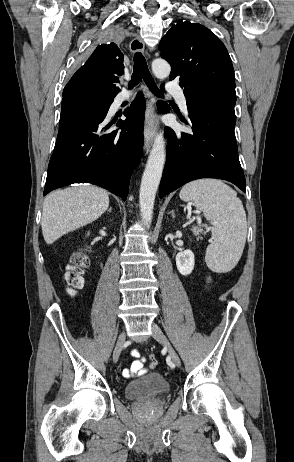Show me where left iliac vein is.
Wrapping results in <instances>:
<instances>
[{
  "label": "left iliac vein",
  "instance_id": "4c4485c4",
  "mask_svg": "<svg viewBox=\"0 0 294 462\" xmlns=\"http://www.w3.org/2000/svg\"><path fill=\"white\" fill-rule=\"evenodd\" d=\"M151 329H152V337L158 341L159 343H161L168 351V354L172 356V361H173V364L175 366H180L181 365V361H180V358L178 356V354L175 352V350L173 349V347L171 346V344L169 343L168 339L166 338V336L163 334L162 330L160 329V327L153 323L151 325Z\"/></svg>",
  "mask_w": 294,
  "mask_h": 462
}]
</instances>
